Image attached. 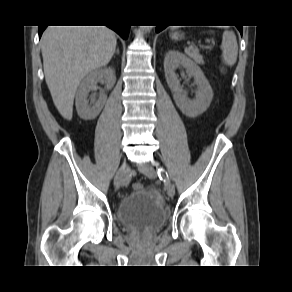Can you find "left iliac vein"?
Segmentation results:
<instances>
[{
    "mask_svg": "<svg viewBox=\"0 0 292 292\" xmlns=\"http://www.w3.org/2000/svg\"><path fill=\"white\" fill-rule=\"evenodd\" d=\"M139 171L151 179H153L157 176L156 170L147 164L139 165ZM166 191H167V195L169 197H171V198L174 197L175 187L172 184L168 185V187L166 188Z\"/></svg>",
    "mask_w": 292,
    "mask_h": 292,
    "instance_id": "obj_1",
    "label": "left iliac vein"
}]
</instances>
